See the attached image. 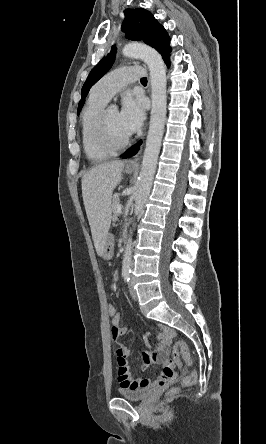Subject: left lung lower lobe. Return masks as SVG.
<instances>
[{
	"label": "left lung lower lobe",
	"mask_w": 266,
	"mask_h": 444,
	"mask_svg": "<svg viewBox=\"0 0 266 444\" xmlns=\"http://www.w3.org/2000/svg\"><path fill=\"white\" fill-rule=\"evenodd\" d=\"M165 63L167 64V66H169V59L166 60ZM141 143L142 142L140 141L134 148H132L128 153L123 154L121 157L129 158V157H132L133 155H135L136 152L138 151L139 146L141 145Z\"/></svg>",
	"instance_id": "1"
}]
</instances>
